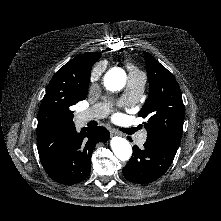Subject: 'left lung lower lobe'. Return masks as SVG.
<instances>
[{
	"instance_id": "0a47b994",
	"label": "left lung lower lobe",
	"mask_w": 221,
	"mask_h": 221,
	"mask_svg": "<svg viewBox=\"0 0 221 221\" xmlns=\"http://www.w3.org/2000/svg\"><path fill=\"white\" fill-rule=\"evenodd\" d=\"M179 143L147 141L144 148L133 147V155L123 168L124 177L134 183L147 184L162 176L174 160Z\"/></svg>"
}]
</instances>
